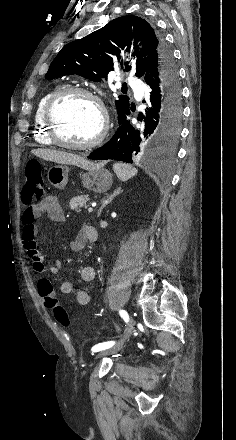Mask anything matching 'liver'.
Listing matches in <instances>:
<instances>
[{
	"label": "liver",
	"mask_w": 236,
	"mask_h": 440,
	"mask_svg": "<svg viewBox=\"0 0 236 440\" xmlns=\"http://www.w3.org/2000/svg\"><path fill=\"white\" fill-rule=\"evenodd\" d=\"M32 153L46 161H52L58 164L76 165L83 169H90L92 167L100 166L84 159L76 154L67 153L63 151H56L51 149H34Z\"/></svg>",
	"instance_id": "1"
}]
</instances>
